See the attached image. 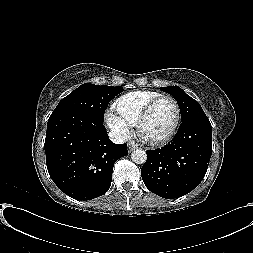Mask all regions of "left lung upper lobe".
Masks as SVG:
<instances>
[{
    "label": "left lung upper lobe",
    "mask_w": 253,
    "mask_h": 253,
    "mask_svg": "<svg viewBox=\"0 0 253 253\" xmlns=\"http://www.w3.org/2000/svg\"><path fill=\"white\" fill-rule=\"evenodd\" d=\"M161 90L171 94L177 100L181 113V122L193 117L206 116L200 104L178 86L163 87Z\"/></svg>",
    "instance_id": "1"
}]
</instances>
